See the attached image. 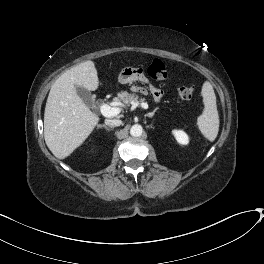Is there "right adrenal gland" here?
Instances as JSON below:
<instances>
[{
	"mask_svg": "<svg viewBox=\"0 0 264 264\" xmlns=\"http://www.w3.org/2000/svg\"><path fill=\"white\" fill-rule=\"evenodd\" d=\"M98 128H105L107 131H110L111 128L108 127L107 125L103 124V125H98Z\"/></svg>",
	"mask_w": 264,
	"mask_h": 264,
	"instance_id": "obj_1",
	"label": "right adrenal gland"
}]
</instances>
